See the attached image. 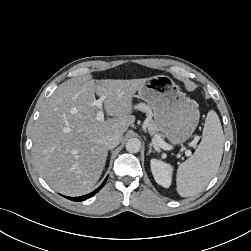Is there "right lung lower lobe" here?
<instances>
[{
    "instance_id": "right-lung-lower-lobe-1",
    "label": "right lung lower lobe",
    "mask_w": 251,
    "mask_h": 251,
    "mask_svg": "<svg viewBox=\"0 0 251 251\" xmlns=\"http://www.w3.org/2000/svg\"><path fill=\"white\" fill-rule=\"evenodd\" d=\"M106 180H107V177H106V179L104 180V182L102 183V185H101L98 189H96L95 191H93V192L90 193V194H87V195H84V196H81V197H66V196H65V197H66L67 199L72 200V201H84V200H86V199L92 197L94 194H96V193L103 187V185L105 184Z\"/></svg>"
}]
</instances>
